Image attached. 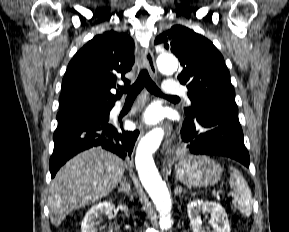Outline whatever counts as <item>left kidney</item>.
Returning <instances> with one entry per match:
<instances>
[{
    "label": "left kidney",
    "mask_w": 289,
    "mask_h": 232,
    "mask_svg": "<svg viewBox=\"0 0 289 232\" xmlns=\"http://www.w3.org/2000/svg\"><path fill=\"white\" fill-rule=\"evenodd\" d=\"M187 212L193 232H206L201 221V213H210L209 232H230V225L224 208L213 201L193 200L187 205Z\"/></svg>",
    "instance_id": "5707ae66"
}]
</instances>
